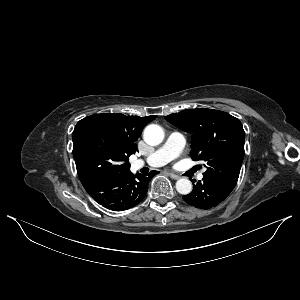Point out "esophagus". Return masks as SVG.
<instances>
[{"instance_id": "obj_1", "label": "esophagus", "mask_w": 300, "mask_h": 300, "mask_svg": "<svg viewBox=\"0 0 300 300\" xmlns=\"http://www.w3.org/2000/svg\"><path fill=\"white\" fill-rule=\"evenodd\" d=\"M169 176H170L172 179H174V180L180 179V176H179V175H176V174H174V173H169Z\"/></svg>"}]
</instances>
